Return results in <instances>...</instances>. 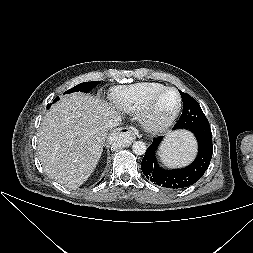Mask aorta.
<instances>
[{"mask_svg":"<svg viewBox=\"0 0 253 253\" xmlns=\"http://www.w3.org/2000/svg\"><path fill=\"white\" fill-rule=\"evenodd\" d=\"M146 144L142 141H136L132 145V150L136 155H143L146 152Z\"/></svg>","mask_w":253,"mask_h":253,"instance_id":"1","label":"aorta"}]
</instances>
